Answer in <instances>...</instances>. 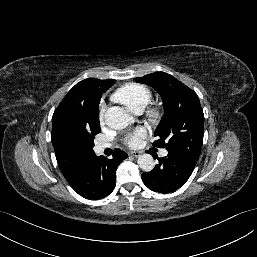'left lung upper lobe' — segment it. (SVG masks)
<instances>
[{
  "mask_svg": "<svg viewBox=\"0 0 257 257\" xmlns=\"http://www.w3.org/2000/svg\"><path fill=\"white\" fill-rule=\"evenodd\" d=\"M135 81L153 87L163 101L164 115L154 132L158 140L153 145L198 160L204 126V114L198 95L165 72L137 77Z\"/></svg>",
  "mask_w": 257,
  "mask_h": 257,
  "instance_id": "5c2ea615",
  "label": "left lung upper lobe"
}]
</instances>
